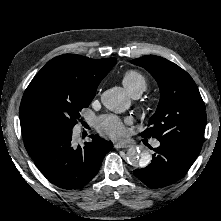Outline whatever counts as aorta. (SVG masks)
<instances>
[{
    "label": "aorta",
    "mask_w": 221,
    "mask_h": 221,
    "mask_svg": "<svg viewBox=\"0 0 221 221\" xmlns=\"http://www.w3.org/2000/svg\"><path fill=\"white\" fill-rule=\"evenodd\" d=\"M103 105L110 111L122 113L130 106V99L122 88L114 87L101 95ZM150 152L141 147L132 146L127 151L128 163L136 168H144L151 162Z\"/></svg>",
    "instance_id": "762f6f07"
}]
</instances>
